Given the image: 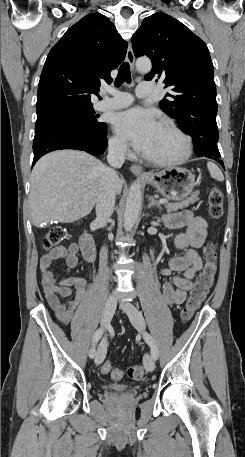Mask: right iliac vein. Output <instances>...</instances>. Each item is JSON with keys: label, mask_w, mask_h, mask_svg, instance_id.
<instances>
[{"label": "right iliac vein", "mask_w": 245, "mask_h": 457, "mask_svg": "<svg viewBox=\"0 0 245 457\" xmlns=\"http://www.w3.org/2000/svg\"><path fill=\"white\" fill-rule=\"evenodd\" d=\"M115 309H116V300L114 298L108 299L104 305L102 319H101L103 326H106L107 324H109V322L111 321V319L114 315ZM106 346H107L106 339L103 338L97 349V355L95 358V363L97 365L101 364L105 358L106 350H107Z\"/></svg>", "instance_id": "63e3f726"}]
</instances>
